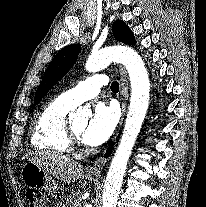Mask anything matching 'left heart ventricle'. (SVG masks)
I'll use <instances>...</instances> for the list:
<instances>
[{
  "label": "left heart ventricle",
  "mask_w": 206,
  "mask_h": 207,
  "mask_svg": "<svg viewBox=\"0 0 206 207\" xmlns=\"http://www.w3.org/2000/svg\"><path fill=\"white\" fill-rule=\"evenodd\" d=\"M87 126V122H80V123H74L72 124V128L75 133H77L80 137H82V134Z\"/></svg>",
  "instance_id": "left-heart-ventricle-1"
}]
</instances>
